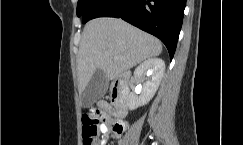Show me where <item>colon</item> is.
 Segmentation results:
<instances>
[{
    "instance_id": "5ec220e1",
    "label": "colon",
    "mask_w": 243,
    "mask_h": 145,
    "mask_svg": "<svg viewBox=\"0 0 243 145\" xmlns=\"http://www.w3.org/2000/svg\"><path fill=\"white\" fill-rule=\"evenodd\" d=\"M103 117V112L98 108H90L82 116V136L84 145H97L96 136L100 129V122ZM111 129L116 133H121L125 129L123 123L119 121H114L111 124Z\"/></svg>"
}]
</instances>
